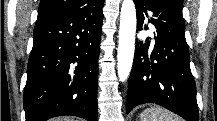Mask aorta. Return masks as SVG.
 Wrapping results in <instances>:
<instances>
[{
	"label": "aorta",
	"mask_w": 217,
	"mask_h": 121,
	"mask_svg": "<svg viewBox=\"0 0 217 121\" xmlns=\"http://www.w3.org/2000/svg\"><path fill=\"white\" fill-rule=\"evenodd\" d=\"M136 9L133 0H123L120 13L117 73L120 81L128 79L135 50Z\"/></svg>",
	"instance_id": "obj_1"
}]
</instances>
